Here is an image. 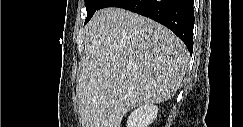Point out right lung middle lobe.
<instances>
[{
    "instance_id": "1",
    "label": "right lung middle lobe",
    "mask_w": 243,
    "mask_h": 127,
    "mask_svg": "<svg viewBox=\"0 0 243 127\" xmlns=\"http://www.w3.org/2000/svg\"><path fill=\"white\" fill-rule=\"evenodd\" d=\"M105 0H85V6L87 10V18L85 24L91 19L93 14L100 9Z\"/></svg>"
}]
</instances>
